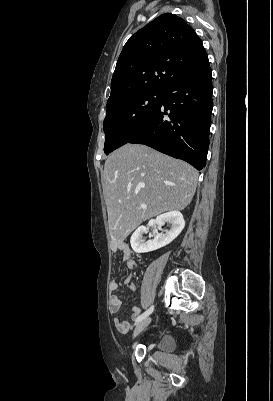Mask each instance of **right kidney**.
I'll return each mask as SVG.
<instances>
[{"mask_svg": "<svg viewBox=\"0 0 273 401\" xmlns=\"http://www.w3.org/2000/svg\"><path fill=\"white\" fill-rule=\"evenodd\" d=\"M165 223L171 225L169 231L163 233H157L152 241H142V235L147 233V227H138L135 233H133L130 243L133 251L135 253H150V251H156V249H161V247H166L171 241H174L181 231L185 227V221L183 215L179 211H170V213H164V215H159L157 219H152L149 221L148 227H153L157 225V229H161Z\"/></svg>", "mask_w": 273, "mask_h": 401, "instance_id": "right-kidney-1", "label": "right kidney"}]
</instances>
